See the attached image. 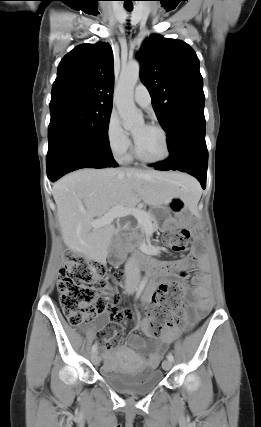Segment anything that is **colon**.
Returning <instances> with one entry per match:
<instances>
[{
  "instance_id": "5ec220e1",
  "label": "colon",
  "mask_w": 261,
  "mask_h": 427,
  "mask_svg": "<svg viewBox=\"0 0 261 427\" xmlns=\"http://www.w3.org/2000/svg\"><path fill=\"white\" fill-rule=\"evenodd\" d=\"M190 239L188 230L170 232L164 241L175 252L185 250ZM124 279L121 271L111 275L113 283L120 285ZM107 272L103 264L90 261L81 254L70 251L65 255L57 281L61 308L72 326H80L93 320L99 313L107 312L108 302L100 294L109 290ZM184 285L171 280L152 296V306L148 312L147 332L153 337L172 327L184 312Z\"/></svg>"
}]
</instances>
